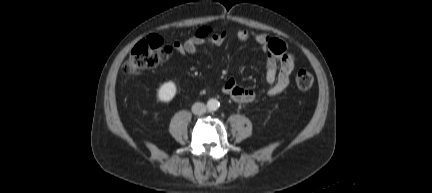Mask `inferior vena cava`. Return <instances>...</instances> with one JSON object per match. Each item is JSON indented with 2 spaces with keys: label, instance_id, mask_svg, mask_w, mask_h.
<instances>
[{
  "label": "inferior vena cava",
  "instance_id": "obj_1",
  "mask_svg": "<svg viewBox=\"0 0 432 193\" xmlns=\"http://www.w3.org/2000/svg\"><path fill=\"white\" fill-rule=\"evenodd\" d=\"M207 110V107L204 103L196 102L192 106V112L196 115L204 114Z\"/></svg>",
  "mask_w": 432,
  "mask_h": 193
}]
</instances>
